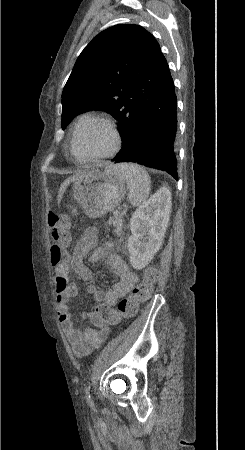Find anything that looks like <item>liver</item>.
<instances>
[{"label":"liver","mask_w":245,"mask_h":450,"mask_svg":"<svg viewBox=\"0 0 245 450\" xmlns=\"http://www.w3.org/2000/svg\"><path fill=\"white\" fill-rule=\"evenodd\" d=\"M89 173H90V172H89ZM89 173H85V174L78 175V176H71V177H69L68 179H66V180L61 184V186H60V189H59V192H58V203L61 201L62 196H63V194H64L66 188L69 186V184H70L71 182H73V181H75L76 179H78V178H80V177H83V176H85V175H87V174H89Z\"/></svg>","instance_id":"liver-1"}]
</instances>
